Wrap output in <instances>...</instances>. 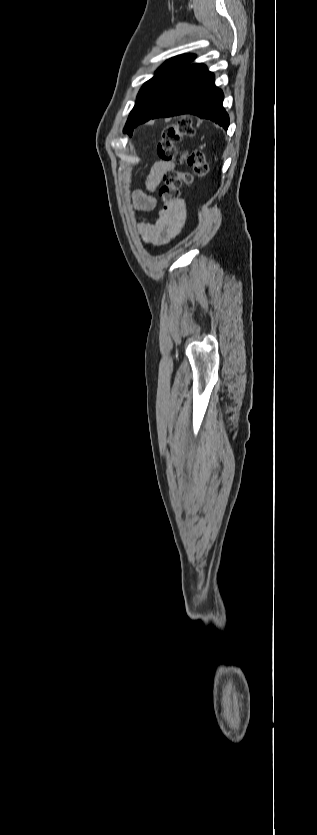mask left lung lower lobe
Here are the masks:
<instances>
[{"label": "left lung lower lobe", "mask_w": 317, "mask_h": 835, "mask_svg": "<svg viewBox=\"0 0 317 835\" xmlns=\"http://www.w3.org/2000/svg\"><path fill=\"white\" fill-rule=\"evenodd\" d=\"M223 99L222 90L215 87L213 73L205 65L192 64L183 72L165 102L148 120L190 114L228 129L229 116L222 106Z\"/></svg>", "instance_id": "1"}]
</instances>
